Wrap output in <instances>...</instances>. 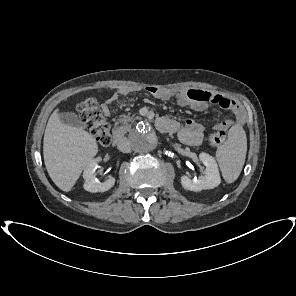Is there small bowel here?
Here are the masks:
<instances>
[{"label": "small bowel", "instance_id": "small-bowel-1", "mask_svg": "<svg viewBox=\"0 0 296 296\" xmlns=\"http://www.w3.org/2000/svg\"><path fill=\"white\" fill-rule=\"evenodd\" d=\"M131 91L129 88H121L113 93L103 104V112L109 114V105L119 100L121 96L128 95ZM148 91L162 100H175L180 106L188 107L195 111H203L210 105H217L220 108L232 111L233 117L214 123L212 125L214 129H228L234 124H242L245 121V114L242 107L238 102L229 97L201 89H158L149 87ZM162 119L172 121L175 127L171 132H178L179 139L191 146L200 145L205 132L209 128L208 125L191 118L187 119L184 125H180L172 119Z\"/></svg>", "mask_w": 296, "mask_h": 296}]
</instances>
